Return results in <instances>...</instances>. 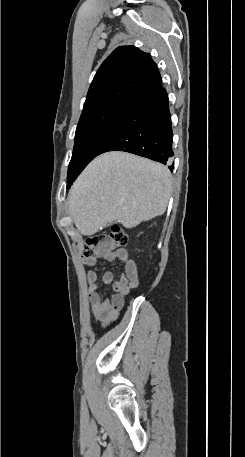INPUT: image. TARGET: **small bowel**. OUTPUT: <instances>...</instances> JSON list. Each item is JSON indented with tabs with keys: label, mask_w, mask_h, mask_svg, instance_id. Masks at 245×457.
Wrapping results in <instances>:
<instances>
[{
	"label": "small bowel",
	"mask_w": 245,
	"mask_h": 457,
	"mask_svg": "<svg viewBox=\"0 0 245 457\" xmlns=\"http://www.w3.org/2000/svg\"><path fill=\"white\" fill-rule=\"evenodd\" d=\"M104 260H117L122 264V273L117 280L110 271H104L98 278L99 269L96 267V256L83 259V264L93 267L87 273L88 300L94 319L102 324L115 320L123 309L126 297L138 286L139 271L133 259L125 249L103 256ZM112 285L113 294L101 297L99 290L103 286Z\"/></svg>",
	"instance_id": "obj_1"
}]
</instances>
